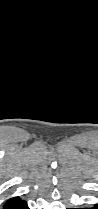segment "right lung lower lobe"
Returning <instances> with one entry per match:
<instances>
[{
	"mask_svg": "<svg viewBox=\"0 0 98 209\" xmlns=\"http://www.w3.org/2000/svg\"><path fill=\"white\" fill-rule=\"evenodd\" d=\"M3 209H29L26 201L21 200L19 197L8 199L3 205Z\"/></svg>",
	"mask_w": 98,
	"mask_h": 209,
	"instance_id": "1",
	"label": "right lung lower lobe"
}]
</instances>
